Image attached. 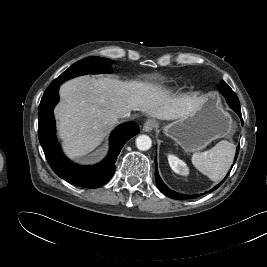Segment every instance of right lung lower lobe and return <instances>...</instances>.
I'll return each instance as SVG.
<instances>
[{
    "label": "right lung lower lobe",
    "instance_id": "1",
    "mask_svg": "<svg viewBox=\"0 0 267 267\" xmlns=\"http://www.w3.org/2000/svg\"><path fill=\"white\" fill-rule=\"evenodd\" d=\"M57 84L44 93L38 111L39 141L50 167L60 177L69 183L87 188H97L107 183L113 176L116 166L115 159L124 144L140 129L135 122L119 126L110 137V151L106 159L94 166H79L69 161L62 153L55 138V120L53 107L59 99Z\"/></svg>",
    "mask_w": 267,
    "mask_h": 267
}]
</instances>
